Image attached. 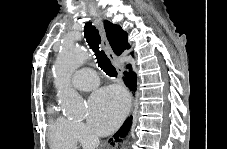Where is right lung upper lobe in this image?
<instances>
[{"label": "right lung upper lobe", "instance_id": "cb5924a9", "mask_svg": "<svg viewBox=\"0 0 227 149\" xmlns=\"http://www.w3.org/2000/svg\"><path fill=\"white\" fill-rule=\"evenodd\" d=\"M104 28L108 41L117 55H120L124 50L129 48L127 41L128 34L120 26L105 20Z\"/></svg>", "mask_w": 227, "mask_h": 149}]
</instances>
